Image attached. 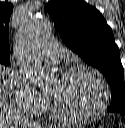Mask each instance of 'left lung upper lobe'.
Listing matches in <instances>:
<instances>
[{
  "instance_id": "1",
  "label": "left lung upper lobe",
  "mask_w": 125,
  "mask_h": 128,
  "mask_svg": "<svg viewBox=\"0 0 125 128\" xmlns=\"http://www.w3.org/2000/svg\"><path fill=\"white\" fill-rule=\"evenodd\" d=\"M45 11L67 47L107 78L112 95L107 111H125L124 70L119 48L102 14L82 0L50 1Z\"/></svg>"
}]
</instances>
